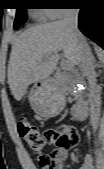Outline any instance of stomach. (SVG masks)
Here are the masks:
<instances>
[{
    "label": "stomach",
    "mask_w": 104,
    "mask_h": 169,
    "mask_svg": "<svg viewBox=\"0 0 104 169\" xmlns=\"http://www.w3.org/2000/svg\"><path fill=\"white\" fill-rule=\"evenodd\" d=\"M32 109L43 117H54L64 108V91L53 81L36 83L28 96Z\"/></svg>",
    "instance_id": "obj_1"
}]
</instances>
